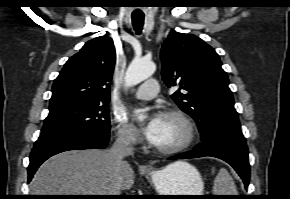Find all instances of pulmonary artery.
<instances>
[{"mask_svg":"<svg viewBox=\"0 0 290 199\" xmlns=\"http://www.w3.org/2000/svg\"><path fill=\"white\" fill-rule=\"evenodd\" d=\"M159 91V84L156 80H148L140 85L134 92L135 98L140 100H150L154 98Z\"/></svg>","mask_w":290,"mask_h":199,"instance_id":"e3ab8cb5","label":"pulmonary artery"}]
</instances>
